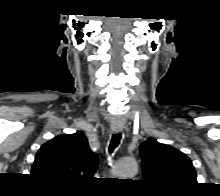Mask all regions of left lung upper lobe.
<instances>
[{
	"label": "left lung upper lobe",
	"instance_id": "5c2ea615",
	"mask_svg": "<svg viewBox=\"0 0 220 196\" xmlns=\"http://www.w3.org/2000/svg\"><path fill=\"white\" fill-rule=\"evenodd\" d=\"M140 154L146 182L160 192L176 194L196 185L194 166L180 150L150 137L140 145Z\"/></svg>",
	"mask_w": 220,
	"mask_h": 196
}]
</instances>
